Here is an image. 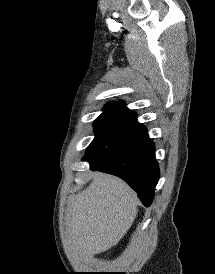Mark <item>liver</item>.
Returning <instances> with one entry per match:
<instances>
[{
  "label": "liver",
  "mask_w": 215,
  "mask_h": 274,
  "mask_svg": "<svg viewBox=\"0 0 215 274\" xmlns=\"http://www.w3.org/2000/svg\"><path fill=\"white\" fill-rule=\"evenodd\" d=\"M82 192L69 197L65 211L69 248L88 258L118 244L132 226L137 195L121 179L96 172Z\"/></svg>",
  "instance_id": "1"
}]
</instances>
